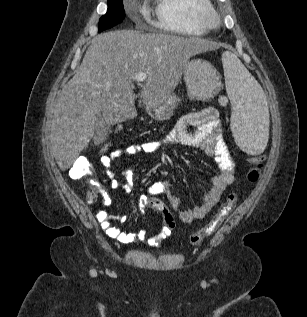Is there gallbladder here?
<instances>
[{"mask_svg":"<svg viewBox=\"0 0 307 317\" xmlns=\"http://www.w3.org/2000/svg\"><path fill=\"white\" fill-rule=\"evenodd\" d=\"M109 132V124L105 120V116L102 113H99L95 122V136H94V144H101Z\"/></svg>","mask_w":307,"mask_h":317,"instance_id":"bac80fb5","label":"gallbladder"}]
</instances>
